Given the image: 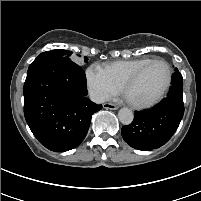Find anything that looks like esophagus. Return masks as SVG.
<instances>
[{
	"mask_svg": "<svg viewBox=\"0 0 201 201\" xmlns=\"http://www.w3.org/2000/svg\"><path fill=\"white\" fill-rule=\"evenodd\" d=\"M104 109H110V110H117L118 106L113 103H104L103 104Z\"/></svg>",
	"mask_w": 201,
	"mask_h": 201,
	"instance_id": "34e87169",
	"label": "esophagus"
}]
</instances>
